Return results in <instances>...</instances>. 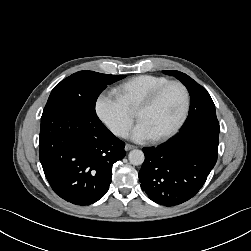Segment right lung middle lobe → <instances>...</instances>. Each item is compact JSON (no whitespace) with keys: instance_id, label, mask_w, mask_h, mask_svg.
<instances>
[{"instance_id":"1","label":"right lung middle lobe","mask_w":251,"mask_h":251,"mask_svg":"<svg viewBox=\"0 0 251 251\" xmlns=\"http://www.w3.org/2000/svg\"><path fill=\"white\" fill-rule=\"evenodd\" d=\"M125 75H107L93 71H79L62 80L52 90L42 115L76 109L95 116V103L100 93Z\"/></svg>"}]
</instances>
